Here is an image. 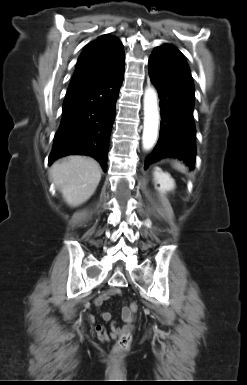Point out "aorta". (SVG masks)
<instances>
[{"instance_id": "aorta-1", "label": "aorta", "mask_w": 247, "mask_h": 385, "mask_svg": "<svg viewBox=\"0 0 247 385\" xmlns=\"http://www.w3.org/2000/svg\"><path fill=\"white\" fill-rule=\"evenodd\" d=\"M144 129L142 145L144 150H150L156 143L159 129L158 96L153 87H147L144 93Z\"/></svg>"}]
</instances>
